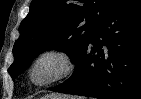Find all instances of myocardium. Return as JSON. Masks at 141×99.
<instances>
[{
	"label": "myocardium",
	"instance_id": "1",
	"mask_svg": "<svg viewBox=\"0 0 141 99\" xmlns=\"http://www.w3.org/2000/svg\"><path fill=\"white\" fill-rule=\"evenodd\" d=\"M48 57H55L60 59L64 65L63 71L59 75L55 76L54 78L48 81L41 82V83L36 82L33 78L34 70L36 66L43 59ZM75 68H76L75 59L70 51L64 48H51V49L42 51L33 59V61L31 62L28 68L27 77L31 84H33L36 87L43 88V87L51 86L53 84H56L58 82H61L69 78L74 73Z\"/></svg>",
	"mask_w": 141,
	"mask_h": 99
}]
</instances>
